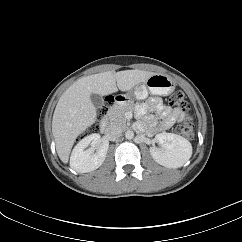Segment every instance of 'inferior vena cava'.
Returning <instances> with one entry per match:
<instances>
[{"label":"inferior vena cava","instance_id":"602c4592","mask_svg":"<svg viewBox=\"0 0 242 242\" xmlns=\"http://www.w3.org/2000/svg\"><path fill=\"white\" fill-rule=\"evenodd\" d=\"M106 134L110 139L119 138L122 134V128L116 124H111L107 128Z\"/></svg>","mask_w":242,"mask_h":242}]
</instances>
